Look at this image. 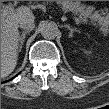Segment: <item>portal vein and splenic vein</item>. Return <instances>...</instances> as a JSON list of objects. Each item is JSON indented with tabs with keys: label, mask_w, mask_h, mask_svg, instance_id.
Masks as SVG:
<instances>
[{
	"label": "portal vein and splenic vein",
	"mask_w": 109,
	"mask_h": 109,
	"mask_svg": "<svg viewBox=\"0 0 109 109\" xmlns=\"http://www.w3.org/2000/svg\"><path fill=\"white\" fill-rule=\"evenodd\" d=\"M22 8H18V9H15L13 6H5L3 9H2V17H6L7 15H10V14H13L14 12L16 11H20ZM73 19L75 20L76 24H79L81 23V21L76 18L75 16H73Z\"/></svg>",
	"instance_id": "18ae733b"
}]
</instances>
